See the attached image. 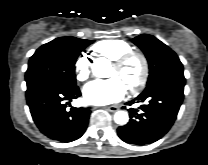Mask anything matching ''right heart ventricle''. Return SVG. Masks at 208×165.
<instances>
[{"mask_svg": "<svg viewBox=\"0 0 208 165\" xmlns=\"http://www.w3.org/2000/svg\"><path fill=\"white\" fill-rule=\"evenodd\" d=\"M92 50L113 61L122 54L132 51L133 47L125 40L105 39L97 42Z\"/></svg>", "mask_w": 208, "mask_h": 165, "instance_id": "1", "label": "right heart ventricle"}]
</instances>
